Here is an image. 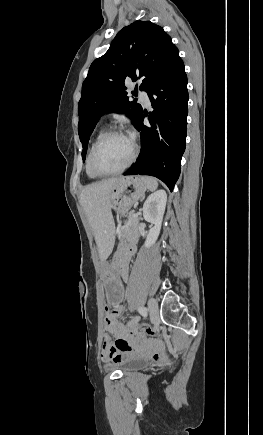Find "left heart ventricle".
Here are the masks:
<instances>
[{
    "instance_id": "obj_1",
    "label": "left heart ventricle",
    "mask_w": 263,
    "mask_h": 435,
    "mask_svg": "<svg viewBox=\"0 0 263 435\" xmlns=\"http://www.w3.org/2000/svg\"><path fill=\"white\" fill-rule=\"evenodd\" d=\"M132 150L133 143L129 137H109L97 149L95 155L96 165L105 171L116 170L128 161Z\"/></svg>"
}]
</instances>
